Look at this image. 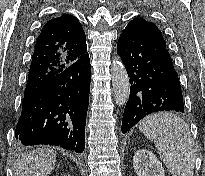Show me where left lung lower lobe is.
Here are the masks:
<instances>
[{"label":"left lung lower lobe","mask_w":205,"mask_h":176,"mask_svg":"<svg viewBox=\"0 0 205 176\" xmlns=\"http://www.w3.org/2000/svg\"><path fill=\"white\" fill-rule=\"evenodd\" d=\"M117 53L131 84L122 133H126L148 114L159 111L184 112L180 81L166 46L126 26L119 37Z\"/></svg>","instance_id":"0a47b994"}]
</instances>
